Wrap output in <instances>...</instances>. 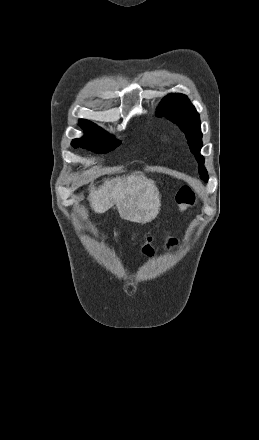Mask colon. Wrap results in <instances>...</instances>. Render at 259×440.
<instances>
[{
  "mask_svg": "<svg viewBox=\"0 0 259 440\" xmlns=\"http://www.w3.org/2000/svg\"><path fill=\"white\" fill-rule=\"evenodd\" d=\"M176 202L179 206L181 211H186L188 208L192 207L196 202V191L190 187V186H182L176 195ZM151 239L148 238L147 242L145 243L143 249L147 254L153 253V248L150 244ZM175 241L172 240L171 243L173 244Z\"/></svg>",
  "mask_w": 259,
  "mask_h": 440,
  "instance_id": "colon-1",
  "label": "colon"
}]
</instances>
